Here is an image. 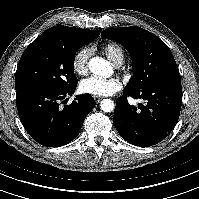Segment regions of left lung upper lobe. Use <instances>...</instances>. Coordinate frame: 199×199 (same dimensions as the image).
<instances>
[{"label":"left lung upper lobe","mask_w":199,"mask_h":199,"mask_svg":"<svg viewBox=\"0 0 199 199\" xmlns=\"http://www.w3.org/2000/svg\"><path fill=\"white\" fill-rule=\"evenodd\" d=\"M101 36L120 43L132 56L134 75L126 90L136 92L158 82L180 79L169 47L153 33L131 26L105 29Z\"/></svg>","instance_id":"5c2ea615"}]
</instances>
